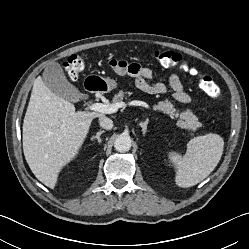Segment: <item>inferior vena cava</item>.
Instances as JSON below:
<instances>
[{"mask_svg":"<svg viewBox=\"0 0 249 249\" xmlns=\"http://www.w3.org/2000/svg\"><path fill=\"white\" fill-rule=\"evenodd\" d=\"M99 124L106 130H111L113 128V121L107 118L105 115L99 117Z\"/></svg>","mask_w":249,"mask_h":249,"instance_id":"inferior-vena-cava-1","label":"inferior vena cava"}]
</instances>
